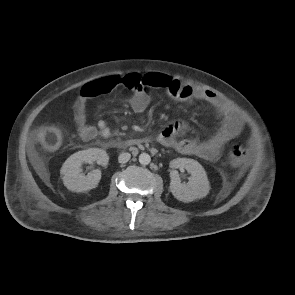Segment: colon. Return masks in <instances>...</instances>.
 Listing matches in <instances>:
<instances>
[{
  "mask_svg": "<svg viewBox=\"0 0 295 295\" xmlns=\"http://www.w3.org/2000/svg\"><path fill=\"white\" fill-rule=\"evenodd\" d=\"M123 84L128 89H134L140 86V79L138 76L129 74L123 77ZM38 140L41 145L49 151L56 150L62 143V133L56 127H44L37 134ZM250 155L246 146L239 142H233L229 147L230 161L234 165L244 163Z\"/></svg>",
  "mask_w": 295,
  "mask_h": 295,
  "instance_id": "5ec220e1",
  "label": "colon"
}]
</instances>
